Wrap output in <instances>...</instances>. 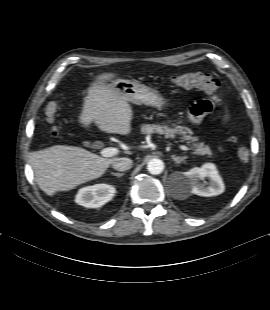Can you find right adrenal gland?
I'll list each match as a JSON object with an SVG mask.
<instances>
[{"instance_id":"right-adrenal-gland-1","label":"right adrenal gland","mask_w":270,"mask_h":310,"mask_svg":"<svg viewBox=\"0 0 270 310\" xmlns=\"http://www.w3.org/2000/svg\"><path fill=\"white\" fill-rule=\"evenodd\" d=\"M111 174L116 177H122L124 175V173H114V172H111Z\"/></svg>"}]
</instances>
